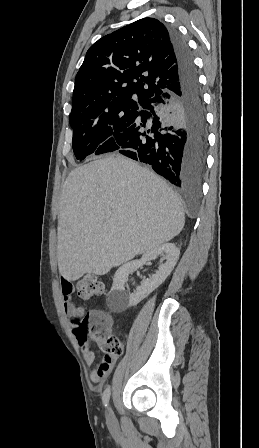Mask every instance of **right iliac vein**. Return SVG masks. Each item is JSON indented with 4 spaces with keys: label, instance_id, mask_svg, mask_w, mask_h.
I'll list each match as a JSON object with an SVG mask.
<instances>
[{
    "label": "right iliac vein",
    "instance_id": "1",
    "mask_svg": "<svg viewBox=\"0 0 259 448\" xmlns=\"http://www.w3.org/2000/svg\"><path fill=\"white\" fill-rule=\"evenodd\" d=\"M106 419L109 424L115 423V416L110 405L106 409Z\"/></svg>",
    "mask_w": 259,
    "mask_h": 448
}]
</instances>
